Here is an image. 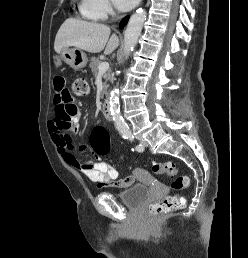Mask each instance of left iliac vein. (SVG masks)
Instances as JSON below:
<instances>
[{
    "mask_svg": "<svg viewBox=\"0 0 248 258\" xmlns=\"http://www.w3.org/2000/svg\"><path fill=\"white\" fill-rule=\"evenodd\" d=\"M140 144H141L144 148L148 146L147 141L144 140V139H140Z\"/></svg>",
    "mask_w": 248,
    "mask_h": 258,
    "instance_id": "obj_1",
    "label": "left iliac vein"
}]
</instances>
